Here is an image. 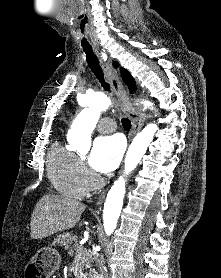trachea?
Listing matches in <instances>:
<instances>
[{"label": "trachea", "instance_id": "3493384b", "mask_svg": "<svg viewBox=\"0 0 221 278\" xmlns=\"http://www.w3.org/2000/svg\"><path fill=\"white\" fill-rule=\"evenodd\" d=\"M83 51L86 54V61L89 65V68L91 69L93 74L96 76V78L99 80V82L101 83V86L104 88V90L110 92V85L105 81L102 68L99 65V61H98L97 56L95 55L93 49L91 47L90 48L83 47ZM121 122L126 131H129L131 129V122L129 119L122 118Z\"/></svg>", "mask_w": 221, "mask_h": 278}]
</instances>
